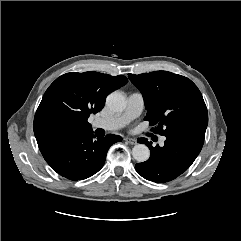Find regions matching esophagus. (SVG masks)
<instances>
[{"label":"esophagus","mask_w":241,"mask_h":241,"mask_svg":"<svg viewBox=\"0 0 241 241\" xmlns=\"http://www.w3.org/2000/svg\"><path fill=\"white\" fill-rule=\"evenodd\" d=\"M124 140H125L127 143L131 144V145L137 144V141H136V139H134V138H129V137H127V138H125Z\"/></svg>","instance_id":"obj_1"}]
</instances>
